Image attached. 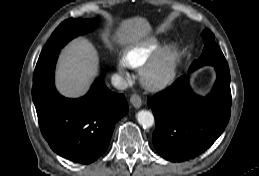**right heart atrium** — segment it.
Wrapping results in <instances>:
<instances>
[{"instance_id": "d8ad5b80", "label": "right heart atrium", "mask_w": 259, "mask_h": 176, "mask_svg": "<svg viewBox=\"0 0 259 176\" xmlns=\"http://www.w3.org/2000/svg\"><path fill=\"white\" fill-rule=\"evenodd\" d=\"M117 70L119 74H124L125 73V65L123 61H119L117 64Z\"/></svg>"}]
</instances>
